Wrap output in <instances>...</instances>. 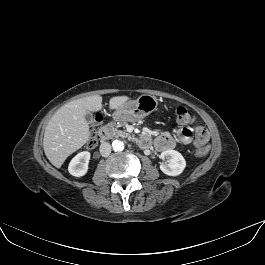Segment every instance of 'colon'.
I'll use <instances>...</instances> for the list:
<instances>
[{
  "instance_id": "obj_1",
  "label": "colon",
  "mask_w": 265,
  "mask_h": 265,
  "mask_svg": "<svg viewBox=\"0 0 265 265\" xmlns=\"http://www.w3.org/2000/svg\"><path fill=\"white\" fill-rule=\"evenodd\" d=\"M176 116L179 122L183 124H190L194 121V115L187 109L186 107L179 106L177 107ZM100 121L99 116L96 117L95 122L98 123ZM97 145V139L95 134L93 133L88 141V147L94 148ZM207 149L205 147H201L197 149L196 155L203 156L206 153Z\"/></svg>"
}]
</instances>
